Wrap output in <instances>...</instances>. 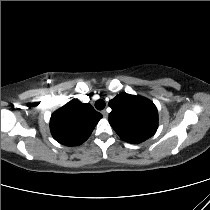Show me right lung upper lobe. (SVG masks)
I'll list each match as a JSON object with an SVG mask.
<instances>
[{
    "mask_svg": "<svg viewBox=\"0 0 210 210\" xmlns=\"http://www.w3.org/2000/svg\"><path fill=\"white\" fill-rule=\"evenodd\" d=\"M101 118L90 104L73 99L52 114L51 133L60 144L77 146L88 139Z\"/></svg>",
    "mask_w": 210,
    "mask_h": 210,
    "instance_id": "1",
    "label": "right lung upper lobe"
}]
</instances>
